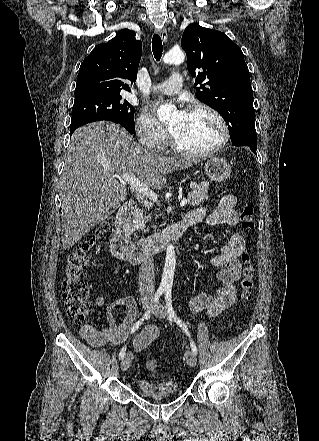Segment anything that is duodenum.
Returning a JSON list of instances; mask_svg holds the SVG:
<instances>
[{
	"label": "duodenum",
	"mask_w": 319,
	"mask_h": 441,
	"mask_svg": "<svg viewBox=\"0 0 319 441\" xmlns=\"http://www.w3.org/2000/svg\"><path fill=\"white\" fill-rule=\"evenodd\" d=\"M133 208L134 201L125 202L115 218V230L110 241V248L113 256L117 259L138 264L150 255L164 249L170 242L179 239L187 230L186 224L181 221L163 233L129 244L130 217Z\"/></svg>",
	"instance_id": "410a0bca"
}]
</instances>
